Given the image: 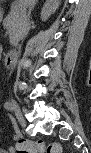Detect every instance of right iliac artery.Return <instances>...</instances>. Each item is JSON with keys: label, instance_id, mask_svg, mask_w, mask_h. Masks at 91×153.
I'll return each instance as SVG.
<instances>
[{"label": "right iliac artery", "instance_id": "1", "mask_svg": "<svg viewBox=\"0 0 91 153\" xmlns=\"http://www.w3.org/2000/svg\"><path fill=\"white\" fill-rule=\"evenodd\" d=\"M4 108H5L6 110H12V109H11V104H10L9 102H5V103H4Z\"/></svg>", "mask_w": 91, "mask_h": 153}]
</instances>
